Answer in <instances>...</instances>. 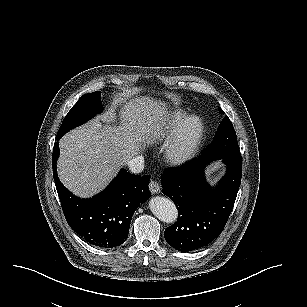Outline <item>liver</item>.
Segmentation results:
<instances>
[{"mask_svg": "<svg viewBox=\"0 0 307 307\" xmlns=\"http://www.w3.org/2000/svg\"><path fill=\"white\" fill-rule=\"evenodd\" d=\"M112 107L118 108L116 124L108 119L110 110L66 133L59 141V179L81 198L103 190L128 160L160 139L170 119L166 104L147 96L130 100L115 97Z\"/></svg>", "mask_w": 307, "mask_h": 307, "instance_id": "liver-1", "label": "liver"}]
</instances>
